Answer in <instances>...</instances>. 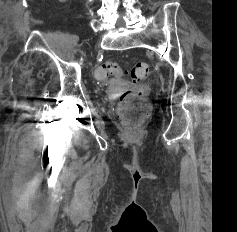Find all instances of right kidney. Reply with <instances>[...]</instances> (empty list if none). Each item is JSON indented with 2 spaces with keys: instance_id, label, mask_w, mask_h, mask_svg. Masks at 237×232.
Here are the masks:
<instances>
[{
  "instance_id": "right-kidney-1",
  "label": "right kidney",
  "mask_w": 237,
  "mask_h": 232,
  "mask_svg": "<svg viewBox=\"0 0 237 232\" xmlns=\"http://www.w3.org/2000/svg\"><path fill=\"white\" fill-rule=\"evenodd\" d=\"M67 0H59V2H66Z\"/></svg>"
}]
</instances>
